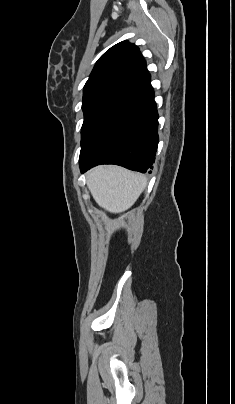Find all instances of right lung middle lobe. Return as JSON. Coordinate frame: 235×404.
Here are the masks:
<instances>
[{
    "label": "right lung middle lobe",
    "mask_w": 235,
    "mask_h": 404,
    "mask_svg": "<svg viewBox=\"0 0 235 404\" xmlns=\"http://www.w3.org/2000/svg\"><path fill=\"white\" fill-rule=\"evenodd\" d=\"M128 86L124 83H107L84 89L82 103L84 122L81 130V143L85 141L107 111L119 101Z\"/></svg>",
    "instance_id": "obj_1"
}]
</instances>
